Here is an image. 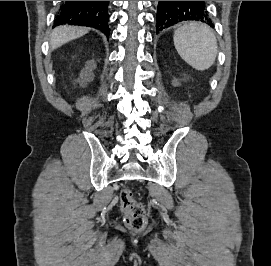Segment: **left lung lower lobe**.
Here are the masks:
<instances>
[{"instance_id": "0a47b994", "label": "left lung lower lobe", "mask_w": 271, "mask_h": 266, "mask_svg": "<svg viewBox=\"0 0 271 266\" xmlns=\"http://www.w3.org/2000/svg\"><path fill=\"white\" fill-rule=\"evenodd\" d=\"M182 21H199L213 27L205 1H159L157 31H162Z\"/></svg>"}]
</instances>
